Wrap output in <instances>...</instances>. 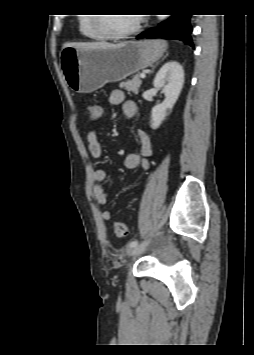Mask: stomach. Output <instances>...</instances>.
Wrapping results in <instances>:
<instances>
[{
	"mask_svg": "<svg viewBox=\"0 0 254 355\" xmlns=\"http://www.w3.org/2000/svg\"><path fill=\"white\" fill-rule=\"evenodd\" d=\"M166 49L164 40L128 41L116 48L64 47L60 65L70 88L87 94L153 65Z\"/></svg>",
	"mask_w": 254,
	"mask_h": 355,
	"instance_id": "stomach-1",
	"label": "stomach"
}]
</instances>
